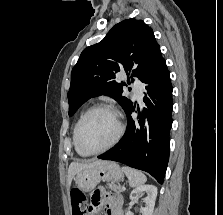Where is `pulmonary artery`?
<instances>
[{
	"label": "pulmonary artery",
	"mask_w": 223,
	"mask_h": 215,
	"mask_svg": "<svg viewBox=\"0 0 223 215\" xmlns=\"http://www.w3.org/2000/svg\"><path fill=\"white\" fill-rule=\"evenodd\" d=\"M134 89L131 90V93L133 94L134 98H143L144 94L142 93V90L145 89L146 83L145 82H138V77L132 78Z\"/></svg>",
	"instance_id": "pulmonary-artery-1"
}]
</instances>
